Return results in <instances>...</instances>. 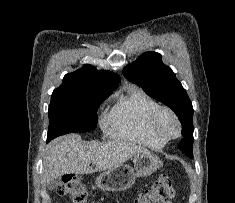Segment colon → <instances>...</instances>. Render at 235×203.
Returning a JSON list of instances; mask_svg holds the SVG:
<instances>
[{"label":"colon","mask_w":235,"mask_h":203,"mask_svg":"<svg viewBox=\"0 0 235 203\" xmlns=\"http://www.w3.org/2000/svg\"><path fill=\"white\" fill-rule=\"evenodd\" d=\"M57 192L59 195L70 197L74 203H87L85 188L76 175L63 176ZM173 196L172 180L168 176H159L135 199L134 203H169Z\"/></svg>","instance_id":"5ec220e1"}]
</instances>
